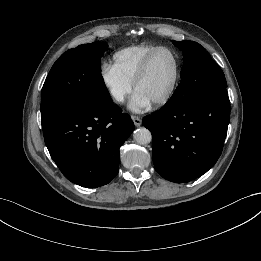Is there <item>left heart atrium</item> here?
<instances>
[{"label":"left heart atrium","mask_w":261,"mask_h":261,"mask_svg":"<svg viewBox=\"0 0 261 261\" xmlns=\"http://www.w3.org/2000/svg\"><path fill=\"white\" fill-rule=\"evenodd\" d=\"M150 105L151 102L144 95L136 91L129 103V109L134 112H141Z\"/></svg>","instance_id":"1"}]
</instances>
